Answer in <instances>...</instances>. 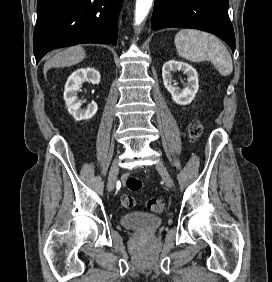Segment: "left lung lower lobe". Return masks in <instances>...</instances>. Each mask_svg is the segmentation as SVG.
<instances>
[{"instance_id":"1","label":"left lung lower lobe","mask_w":272,"mask_h":282,"mask_svg":"<svg viewBox=\"0 0 272 282\" xmlns=\"http://www.w3.org/2000/svg\"><path fill=\"white\" fill-rule=\"evenodd\" d=\"M229 0H155L151 27L194 28L210 32L235 49L233 26L227 14Z\"/></svg>"}]
</instances>
